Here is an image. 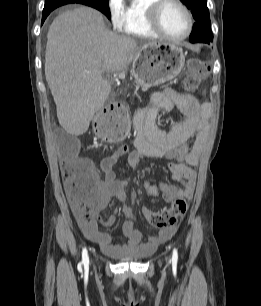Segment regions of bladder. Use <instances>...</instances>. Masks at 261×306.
<instances>
[{"mask_svg":"<svg viewBox=\"0 0 261 306\" xmlns=\"http://www.w3.org/2000/svg\"><path fill=\"white\" fill-rule=\"evenodd\" d=\"M122 261L127 262H140L145 259V255L142 254H123L119 257Z\"/></svg>","mask_w":261,"mask_h":306,"instance_id":"bladder-1","label":"bladder"}]
</instances>
